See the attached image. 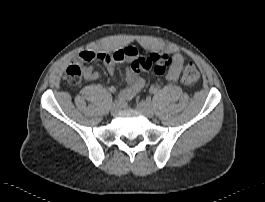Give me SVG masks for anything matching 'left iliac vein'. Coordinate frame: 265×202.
<instances>
[{
  "label": "left iliac vein",
  "mask_w": 265,
  "mask_h": 202,
  "mask_svg": "<svg viewBox=\"0 0 265 202\" xmlns=\"http://www.w3.org/2000/svg\"><path fill=\"white\" fill-rule=\"evenodd\" d=\"M137 110L151 118L154 116V109L149 100H142L137 105Z\"/></svg>",
  "instance_id": "left-iliac-vein-1"
}]
</instances>
